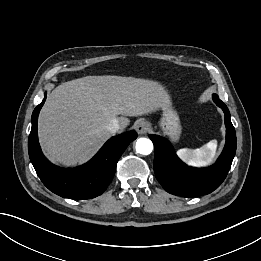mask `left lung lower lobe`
I'll list each match as a JSON object with an SVG mask.
<instances>
[{"label": "left lung lower lobe", "mask_w": 261, "mask_h": 261, "mask_svg": "<svg viewBox=\"0 0 261 261\" xmlns=\"http://www.w3.org/2000/svg\"><path fill=\"white\" fill-rule=\"evenodd\" d=\"M214 102L223 110L226 126L225 147L214 165L203 169L189 167L177 157L167 139L149 135L155 147V176L171 194L187 198L209 194L221 185L228 174L236 152V133L227 106L221 100Z\"/></svg>", "instance_id": "0a47b994"}]
</instances>
